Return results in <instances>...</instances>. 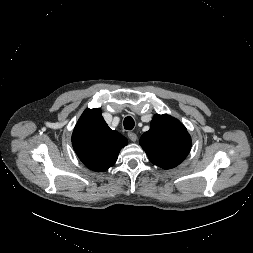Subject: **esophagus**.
I'll use <instances>...</instances> for the list:
<instances>
[{"label": "esophagus", "instance_id": "1", "mask_svg": "<svg viewBox=\"0 0 253 253\" xmlns=\"http://www.w3.org/2000/svg\"><path fill=\"white\" fill-rule=\"evenodd\" d=\"M128 138L132 141L135 142L137 140V135L133 132L128 133Z\"/></svg>", "mask_w": 253, "mask_h": 253}]
</instances>
